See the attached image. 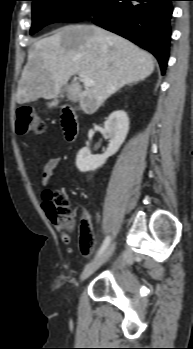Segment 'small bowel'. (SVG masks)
<instances>
[{"instance_id": "small-bowel-1", "label": "small bowel", "mask_w": 193, "mask_h": 349, "mask_svg": "<svg viewBox=\"0 0 193 349\" xmlns=\"http://www.w3.org/2000/svg\"><path fill=\"white\" fill-rule=\"evenodd\" d=\"M59 163L60 157L55 156L47 160V162L44 164L42 169V184L44 186L51 182ZM51 196L52 194L48 189H45L42 193V197L45 201L50 199ZM61 238L65 244H70L71 237L69 234L62 232ZM89 240H91V243H88ZM80 248L85 256H89L93 248V239L89 229V217L86 211H83V225L80 233Z\"/></svg>"}]
</instances>
